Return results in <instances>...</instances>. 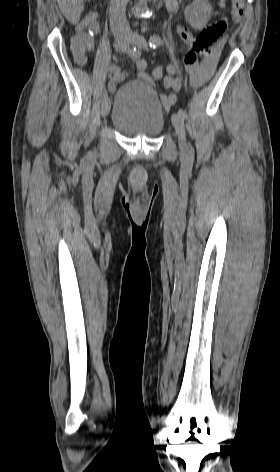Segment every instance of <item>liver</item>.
Segmentation results:
<instances>
[{
	"mask_svg": "<svg viewBox=\"0 0 280 472\" xmlns=\"http://www.w3.org/2000/svg\"><path fill=\"white\" fill-rule=\"evenodd\" d=\"M83 1L84 0H57V3L65 18L71 24L76 25L80 21L81 13L84 10Z\"/></svg>",
	"mask_w": 280,
	"mask_h": 472,
	"instance_id": "1",
	"label": "liver"
}]
</instances>
